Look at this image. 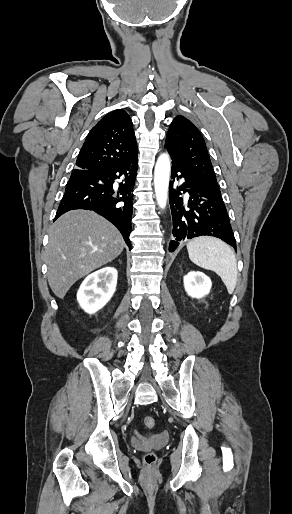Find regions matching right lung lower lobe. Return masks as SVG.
<instances>
[{"mask_svg":"<svg viewBox=\"0 0 292 514\" xmlns=\"http://www.w3.org/2000/svg\"><path fill=\"white\" fill-rule=\"evenodd\" d=\"M138 156L117 166L92 171H72L55 220L74 209L93 210L114 224L131 248L132 191ZM123 182L116 186L115 180Z\"/></svg>","mask_w":292,"mask_h":514,"instance_id":"right-lung-lower-lobe-1","label":"right lung lower lobe"}]
</instances>
